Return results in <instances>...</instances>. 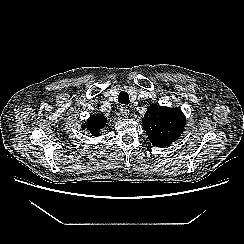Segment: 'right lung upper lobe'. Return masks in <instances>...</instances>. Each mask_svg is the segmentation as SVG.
Returning <instances> with one entry per match:
<instances>
[{
	"label": "right lung upper lobe",
	"instance_id": "right-lung-upper-lobe-1",
	"mask_svg": "<svg viewBox=\"0 0 244 244\" xmlns=\"http://www.w3.org/2000/svg\"><path fill=\"white\" fill-rule=\"evenodd\" d=\"M106 122L107 120L102 114H96L90 117L86 125H82V129H87L92 135L98 137Z\"/></svg>",
	"mask_w": 244,
	"mask_h": 244
}]
</instances>
